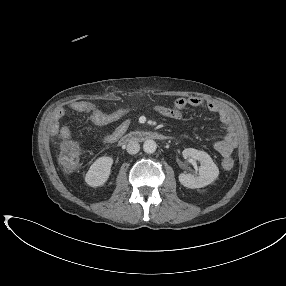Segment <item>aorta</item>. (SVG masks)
<instances>
[{
    "mask_svg": "<svg viewBox=\"0 0 286 286\" xmlns=\"http://www.w3.org/2000/svg\"><path fill=\"white\" fill-rule=\"evenodd\" d=\"M157 144L154 140H146L143 144V150L145 153L152 154L156 151Z\"/></svg>",
    "mask_w": 286,
    "mask_h": 286,
    "instance_id": "aorta-1",
    "label": "aorta"
}]
</instances>
